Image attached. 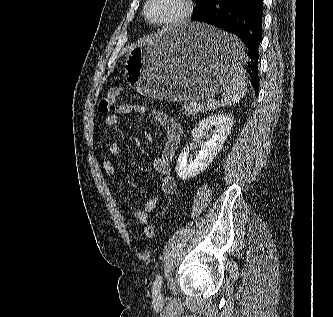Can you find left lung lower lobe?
<instances>
[{"mask_svg": "<svg viewBox=\"0 0 333 317\" xmlns=\"http://www.w3.org/2000/svg\"><path fill=\"white\" fill-rule=\"evenodd\" d=\"M234 34L247 47L248 72L256 97L259 91L258 49L262 40L263 0H211L210 4L191 18ZM218 53L231 58L232 52L224 44Z\"/></svg>", "mask_w": 333, "mask_h": 317, "instance_id": "0a47b994", "label": "left lung lower lobe"}]
</instances>
